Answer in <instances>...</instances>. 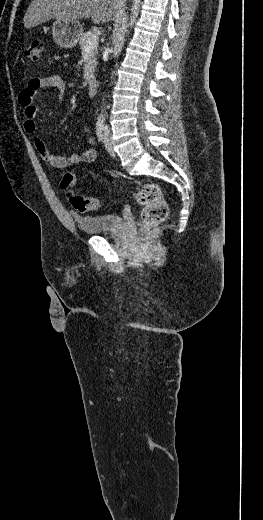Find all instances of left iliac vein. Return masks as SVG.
<instances>
[{
    "instance_id": "1",
    "label": "left iliac vein",
    "mask_w": 263,
    "mask_h": 520,
    "mask_svg": "<svg viewBox=\"0 0 263 520\" xmlns=\"http://www.w3.org/2000/svg\"><path fill=\"white\" fill-rule=\"evenodd\" d=\"M104 146L110 154H114L113 145L110 138V132L108 129H105L104 132Z\"/></svg>"
}]
</instances>
